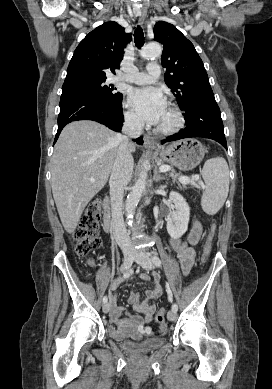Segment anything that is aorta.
<instances>
[{
  "label": "aorta",
  "mask_w": 272,
  "mask_h": 389,
  "mask_svg": "<svg viewBox=\"0 0 272 389\" xmlns=\"http://www.w3.org/2000/svg\"><path fill=\"white\" fill-rule=\"evenodd\" d=\"M162 54V47L159 43H149L145 45L141 51L140 55L144 59L157 58ZM149 166V162H144V167L147 168ZM146 179H147V171L144 169L141 171L137 181L135 182L131 192L128 194L125 204V212L127 219L133 218L134 211L136 206L146 188Z\"/></svg>",
  "instance_id": "obj_1"
}]
</instances>
